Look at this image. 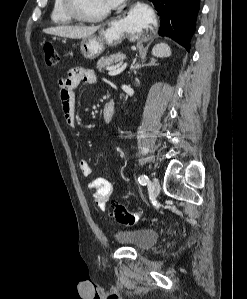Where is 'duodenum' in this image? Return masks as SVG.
Instances as JSON below:
<instances>
[{"instance_id":"duodenum-1","label":"duodenum","mask_w":247,"mask_h":299,"mask_svg":"<svg viewBox=\"0 0 247 299\" xmlns=\"http://www.w3.org/2000/svg\"><path fill=\"white\" fill-rule=\"evenodd\" d=\"M115 106L113 102H109L103 109V119L105 122H110L114 116Z\"/></svg>"}]
</instances>
